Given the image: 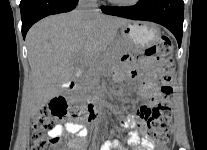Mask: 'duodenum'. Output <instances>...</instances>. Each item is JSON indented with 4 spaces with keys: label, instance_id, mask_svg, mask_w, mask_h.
<instances>
[{
    "label": "duodenum",
    "instance_id": "duodenum-1",
    "mask_svg": "<svg viewBox=\"0 0 207 150\" xmlns=\"http://www.w3.org/2000/svg\"><path fill=\"white\" fill-rule=\"evenodd\" d=\"M77 89H78V85L76 83H71L68 88L69 92L71 93L76 92ZM100 102H101V94L97 93L89 100V103L85 107H80L75 111H71L70 113H74L77 116V118H79L80 116L89 117L90 119L94 118L96 114V109L100 104Z\"/></svg>",
    "mask_w": 207,
    "mask_h": 150
}]
</instances>
